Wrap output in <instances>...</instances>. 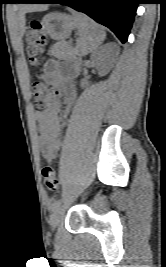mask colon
<instances>
[{
    "mask_svg": "<svg viewBox=\"0 0 166 267\" xmlns=\"http://www.w3.org/2000/svg\"><path fill=\"white\" fill-rule=\"evenodd\" d=\"M27 54L33 65L40 63V53L46 44L44 26L41 21L34 20L26 34ZM32 92L35 98V104L38 109L45 110L55 103L57 92L47 87L43 82L36 81L32 85ZM44 183L48 190L57 194L59 190V181L52 166L46 165L42 169Z\"/></svg>",
    "mask_w": 166,
    "mask_h": 267,
    "instance_id": "colon-1",
    "label": "colon"
}]
</instances>
